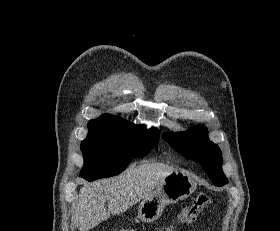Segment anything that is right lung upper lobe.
Masks as SVG:
<instances>
[{
    "label": "right lung upper lobe",
    "mask_w": 280,
    "mask_h": 231,
    "mask_svg": "<svg viewBox=\"0 0 280 231\" xmlns=\"http://www.w3.org/2000/svg\"><path fill=\"white\" fill-rule=\"evenodd\" d=\"M97 119H113V120H119V121H123V122H126V123L134 125L133 123L127 122L126 120H124V119H122L120 117L109 115V114L103 115V116H101V117H99ZM97 119H94V120H97ZM140 127H143V126H140ZM154 129H156V128H154Z\"/></svg>",
    "instance_id": "cb5924a9"
}]
</instances>
